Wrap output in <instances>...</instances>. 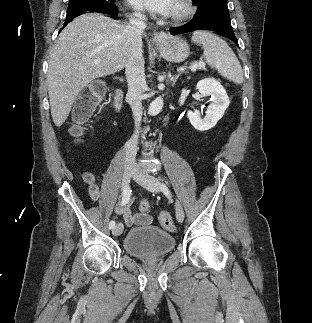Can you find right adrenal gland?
Wrapping results in <instances>:
<instances>
[{
    "instance_id": "1",
    "label": "right adrenal gland",
    "mask_w": 312,
    "mask_h": 323,
    "mask_svg": "<svg viewBox=\"0 0 312 323\" xmlns=\"http://www.w3.org/2000/svg\"><path fill=\"white\" fill-rule=\"evenodd\" d=\"M120 82H124L123 78H120Z\"/></svg>"
}]
</instances>
